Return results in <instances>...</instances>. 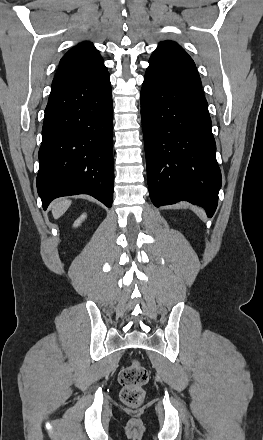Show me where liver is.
Here are the masks:
<instances>
[{
    "instance_id": "1",
    "label": "liver",
    "mask_w": 263,
    "mask_h": 440,
    "mask_svg": "<svg viewBox=\"0 0 263 440\" xmlns=\"http://www.w3.org/2000/svg\"><path fill=\"white\" fill-rule=\"evenodd\" d=\"M71 201L67 199H60L54 203L52 207V215L55 219L60 218L70 207Z\"/></svg>"
}]
</instances>
